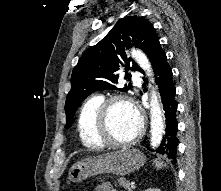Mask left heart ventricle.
<instances>
[{"instance_id":"left-heart-ventricle-1","label":"left heart ventricle","mask_w":221,"mask_h":191,"mask_svg":"<svg viewBox=\"0 0 221 191\" xmlns=\"http://www.w3.org/2000/svg\"><path fill=\"white\" fill-rule=\"evenodd\" d=\"M139 127V117L133 108L124 103L115 104L110 112V134L116 141L131 139Z\"/></svg>"}]
</instances>
